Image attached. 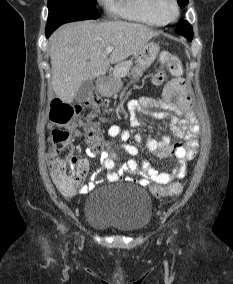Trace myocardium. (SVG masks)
I'll list each match as a JSON object with an SVG mask.
<instances>
[{"label":"myocardium","instance_id":"myocardium-1","mask_svg":"<svg viewBox=\"0 0 233 284\" xmlns=\"http://www.w3.org/2000/svg\"><path fill=\"white\" fill-rule=\"evenodd\" d=\"M168 2L172 5L174 13L171 17H166L162 11L163 4ZM153 11L164 24L176 21L180 15V6L177 0H153Z\"/></svg>","mask_w":233,"mask_h":284}]
</instances>
